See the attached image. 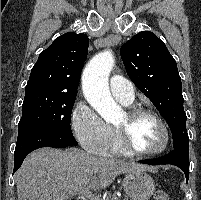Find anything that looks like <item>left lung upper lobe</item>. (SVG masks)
Returning <instances> with one entry per match:
<instances>
[{
  "label": "left lung upper lobe",
  "instance_id": "5c2ea615",
  "mask_svg": "<svg viewBox=\"0 0 201 200\" xmlns=\"http://www.w3.org/2000/svg\"><path fill=\"white\" fill-rule=\"evenodd\" d=\"M120 54L130 79L168 123L173 147L189 145L181 78L166 45L154 33L142 31L122 45Z\"/></svg>",
  "mask_w": 201,
  "mask_h": 200
}]
</instances>
